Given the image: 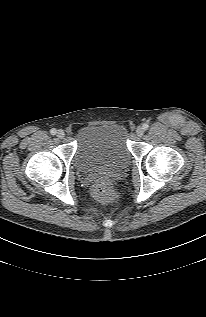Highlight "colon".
I'll return each mask as SVG.
<instances>
[{
    "mask_svg": "<svg viewBox=\"0 0 206 317\" xmlns=\"http://www.w3.org/2000/svg\"><path fill=\"white\" fill-rule=\"evenodd\" d=\"M93 196L102 202H111L116 198V192L109 179H98L92 186Z\"/></svg>",
    "mask_w": 206,
    "mask_h": 317,
    "instance_id": "obj_1",
    "label": "colon"
}]
</instances>
